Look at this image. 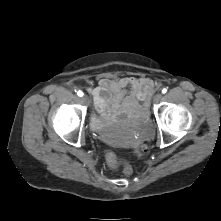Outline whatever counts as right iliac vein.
<instances>
[{"label": "right iliac vein", "instance_id": "obj_1", "mask_svg": "<svg viewBox=\"0 0 221 221\" xmlns=\"http://www.w3.org/2000/svg\"><path fill=\"white\" fill-rule=\"evenodd\" d=\"M82 101H83L84 104H88L89 103V97L87 95H84L82 97Z\"/></svg>", "mask_w": 221, "mask_h": 221}]
</instances>
